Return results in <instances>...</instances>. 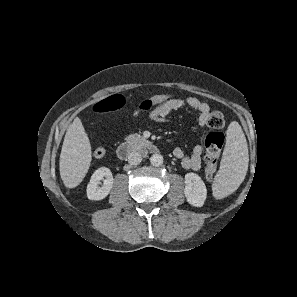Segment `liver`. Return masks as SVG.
Wrapping results in <instances>:
<instances>
[{
    "label": "liver",
    "mask_w": 297,
    "mask_h": 297,
    "mask_svg": "<svg viewBox=\"0 0 297 297\" xmlns=\"http://www.w3.org/2000/svg\"><path fill=\"white\" fill-rule=\"evenodd\" d=\"M92 159L91 145L80 118L69 125L60 154V176L67 188L77 187L84 179Z\"/></svg>",
    "instance_id": "obj_1"
}]
</instances>
